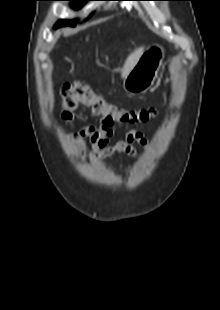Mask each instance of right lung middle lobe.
<instances>
[{
    "mask_svg": "<svg viewBox=\"0 0 220 310\" xmlns=\"http://www.w3.org/2000/svg\"><path fill=\"white\" fill-rule=\"evenodd\" d=\"M71 1L72 6L75 9L81 8L87 1L90 0H68ZM76 25V20H60L56 23L54 28L62 27V26H75Z\"/></svg>",
    "mask_w": 220,
    "mask_h": 310,
    "instance_id": "right-lung-middle-lobe-1",
    "label": "right lung middle lobe"
}]
</instances>
